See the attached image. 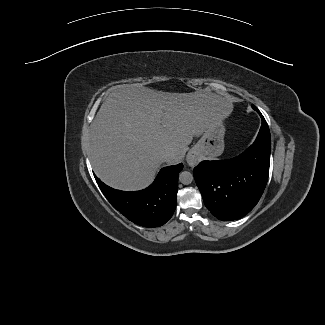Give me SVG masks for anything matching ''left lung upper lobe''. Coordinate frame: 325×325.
Instances as JSON below:
<instances>
[{
    "instance_id": "1",
    "label": "left lung upper lobe",
    "mask_w": 325,
    "mask_h": 325,
    "mask_svg": "<svg viewBox=\"0 0 325 325\" xmlns=\"http://www.w3.org/2000/svg\"><path fill=\"white\" fill-rule=\"evenodd\" d=\"M253 109H255L256 111H259L254 105H252Z\"/></svg>"
}]
</instances>
